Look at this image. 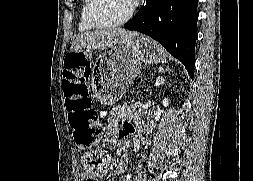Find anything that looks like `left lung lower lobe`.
<instances>
[{"label":"left lung lower lobe","mask_w":253,"mask_h":181,"mask_svg":"<svg viewBox=\"0 0 253 181\" xmlns=\"http://www.w3.org/2000/svg\"><path fill=\"white\" fill-rule=\"evenodd\" d=\"M198 0H145L124 27L146 34L186 67L194 77Z\"/></svg>","instance_id":"obj_1"}]
</instances>
